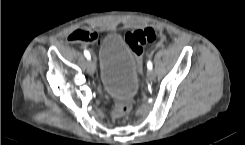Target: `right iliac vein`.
Masks as SVG:
<instances>
[{"label":"right iliac vein","instance_id":"1","mask_svg":"<svg viewBox=\"0 0 245 145\" xmlns=\"http://www.w3.org/2000/svg\"><path fill=\"white\" fill-rule=\"evenodd\" d=\"M87 71L89 75L93 76L95 73V63L93 61H89L87 64Z\"/></svg>","mask_w":245,"mask_h":145}]
</instances>
